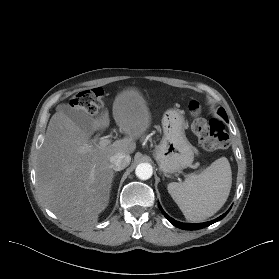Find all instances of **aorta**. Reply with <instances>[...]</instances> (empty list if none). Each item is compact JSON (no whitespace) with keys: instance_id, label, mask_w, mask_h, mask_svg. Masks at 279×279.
<instances>
[{"instance_id":"aorta-1","label":"aorta","mask_w":279,"mask_h":279,"mask_svg":"<svg viewBox=\"0 0 279 279\" xmlns=\"http://www.w3.org/2000/svg\"><path fill=\"white\" fill-rule=\"evenodd\" d=\"M136 176L141 180H147L151 178L153 174V168L149 163H140L135 170Z\"/></svg>"}]
</instances>
